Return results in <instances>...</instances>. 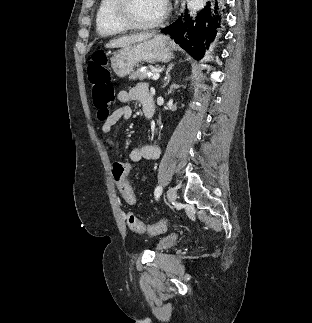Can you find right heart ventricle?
I'll return each mask as SVG.
<instances>
[{
    "mask_svg": "<svg viewBox=\"0 0 312 323\" xmlns=\"http://www.w3.org/2000/svg\"><path fill=\"white\" fill-rule=\"evenodd\" d=\"M117 12V1H96L97 29H102V33H120V29H127V22H123L120 13Z\"/></svg>",
    "mask_w": 312,
    "mask_h": 323,
    "instance_id": "1",
    "label": "right heart ventricle"
}]
</instances>
